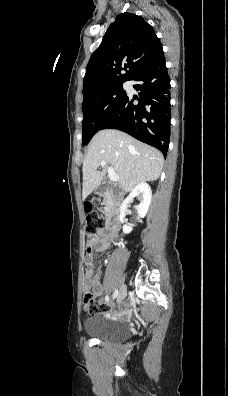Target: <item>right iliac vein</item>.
<instances>
[{
    "label": "right iliac vein",
    "mask_w": 228,
    "mask_h": 396,
    "mask_svg": "<svg viewBox=\"0 0 228 396\" xmlns=\"http://www.w3.org/2000/svg\"><path fill=\"white\" fill-rule=\"evenodd\" d=\"M125 296H126V286L122 285L117 295V301L121 302L125 298Z\"/></svg>",
    "instance_id": "63e3f726"
}]
</instances>
